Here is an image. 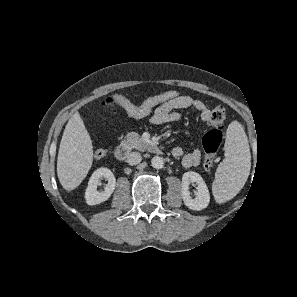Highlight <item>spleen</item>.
<instances>
[{"label": "spleen", "instance_id": "spleen-1", "mask_svg": "<svg viewBox=\"0 0 297 297\" xmlns=\"http://www.w3.org/2000/svg\"><path fill=\"white\" fill-rule=\"evenodd\" d=\"M251 167V154L246 133L238 121L227 128L225 159L216 171L214 196L232 197L244 186Z\"/></svg>", "mask_w": 297, "mask_h": 297}]
</instances>
